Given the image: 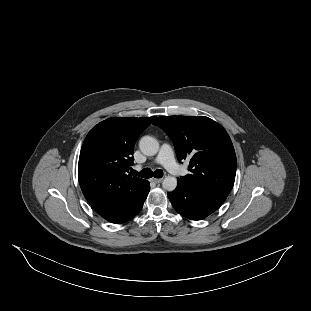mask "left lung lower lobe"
<instances>
[{
	"label": "left lung lower lobe",
	"instance_id": "obj_1",
	"mask_svg": "<svg viewBox=\"0 0 311 311\" xmlns=\"http://www.w3.org/2000/svg\"><path fill=\"white\" fill-rule=\"evenodd\" d=\"M175 210L191 220H202L216 211L227 196L204 192L178 183L173 192L168 193Z\"/></svg>",
	"mask_w": 311,
	"mask_h": 311
}]
</instances>
